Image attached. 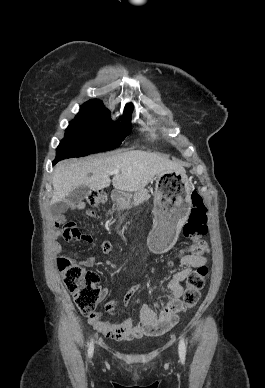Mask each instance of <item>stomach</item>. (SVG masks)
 Returning <instances> with one entry per match:
<instances>
[{
	"instance_id": "0dacf381",
	"label": "stomach",
	"mask_w": 265,
	"mask_h": 388,
	"mask_svg": "<svg viewBox=\"0 0 265 388\" xmlns=\"http://www.w3.org/2000/svg\"><path fill=\"white\" fill-rule=\"evenodd\" d=\"M155 179V225L149 241L155 252L163 253L176 243L180 229L189 215L192 187L185 171L162 172ZM127 207L128 201L120 199L118 208Z\"/></svg>"
}]
</instances>
